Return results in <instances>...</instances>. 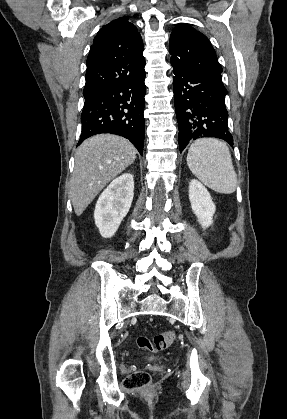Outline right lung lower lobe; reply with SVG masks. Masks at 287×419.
Listing matches in <instances>:
<instances>
[{
    "label": "right lung lower lobe",
    "mask_w": 287,
    "mask_h": 419,
    "mask_svg": "<svg viewBox=\"0 0 287 419\" xmlns=\"http://www.w3.org/2000/svg\"><path fill=\"white\" fill-rule=\"evenodd\" d=\"M145 71L135 78L110 87L84 103L80 145L88 137L111 133L123 136L142 155L145 135Z\"/></svg>",
    "instance_id": "1"
}]
</instances>
